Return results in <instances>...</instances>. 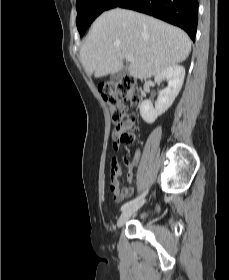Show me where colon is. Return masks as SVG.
<instances>
[{
    "mask_svg": "<svg viewBox=\"0 0 229 280\" xmlns=\"http://www.w3.org/2000/svg\"><path fill=\"white\" fill-rule=\"evenodd\" d=\"M98 91L109 107L114 146L130 142L137 117L134 114H127L124 101L136 100V81L131 76H123L119 80L100 84Z\"/></svg>",
    "mask_w": 229,
    "mask_h": 280,
    "instance_id": "obj_1",
    "label": "colon"
}]
</instances>
